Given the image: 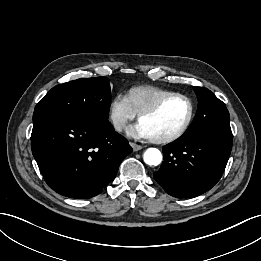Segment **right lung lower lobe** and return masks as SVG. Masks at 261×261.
Instances as JSON below:
<instances>
[{
  "label": "right lung lower lobe",
  "instance_id": "98d812e1",
  "mask_svg": "<svg viewBox=\"0 0 261 261\" xmlns=\"http://www.w3.org/2000/svg\"><path fill=\"white\" fill-rule=\"evenodd\" d=\"M31 148L49 187L76 199L100 194L132 152L114 129L86 117L48 111H34Z\"/></svg>",
  "mask_w": 261,
  "mask_h": 261
}]
</instances>
